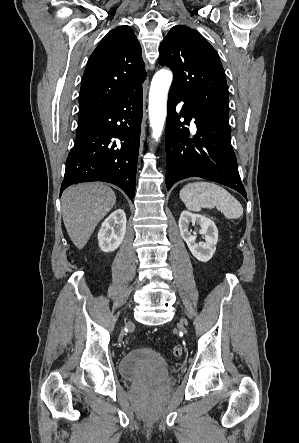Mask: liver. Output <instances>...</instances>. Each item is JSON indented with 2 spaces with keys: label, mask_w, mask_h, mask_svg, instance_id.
I'll list each match as a JSON object with an SVG mask.
<instances>
[{
  "label": "liver",
  "mask_w": 299,
  "mask_h": 443,
  "mask_svg": "<svg viewBox=\"0 0 299 443\" xmlns=\"http://www.w3.org/2000/svg\"><path fill=\"white\" fill-rule=\"evenodd\" d=\"M116 203L114 191L102 183L78 184L67 188L61 197L63 222L78 249L90 239L97 224Z\"/></svg>",
  "instance_id": "6515ba94"
}]
</instances>
